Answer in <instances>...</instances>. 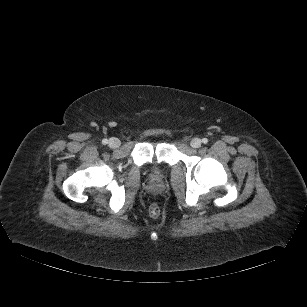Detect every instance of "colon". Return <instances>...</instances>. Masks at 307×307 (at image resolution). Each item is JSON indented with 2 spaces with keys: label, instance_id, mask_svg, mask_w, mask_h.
<instances>
[{
  "label": "colon",
  "instance_id": "1",
  "mask_svg": "<svg viewBox=\"0 0 307 307\" xmlns=\"http://www.w3.org/2000/svg\"><path fill=\"white\" fill-rule=\"evenodd\" d=\"M149 213L151 216L153 217H156L160 214V207L158 204H152L150 207H149Z\"/></svg>",
  "mask_w": 307,
  "mask_h": 307
}]
</instances>
